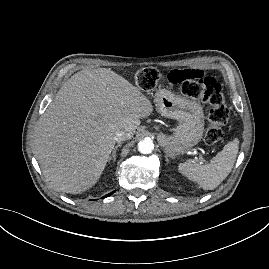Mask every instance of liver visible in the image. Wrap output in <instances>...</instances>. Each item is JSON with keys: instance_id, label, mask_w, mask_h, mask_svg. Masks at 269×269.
Returning <instances> with one entry per match:
<instances>
[{"instance_id": "obj_1", "label": "liver", "mask_w": 269, "mask_h": 269, "mask_svg": "<svg viewBox=\"0 0 269 269\" xmlns=\"http://www.w3.org/2000/svg\"><path fill=\"white\" fill-rule=\"evenodd\" d=\"M153 105L111 69L81 70L59 89L40 118L35 154L50 186L70 194L91 188L114 149V134L131 139Z\"/></svg>"}]
</instances>
